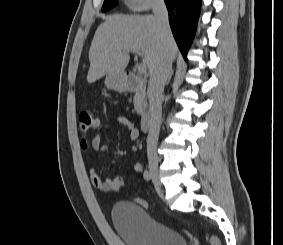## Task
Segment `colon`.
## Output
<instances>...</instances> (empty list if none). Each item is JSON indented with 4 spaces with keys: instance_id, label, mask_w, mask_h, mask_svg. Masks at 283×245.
<instances>
[{
    "instance_id": "colon-1",
    "label": "colon",
    "mask_w": 283,
    "mask_h": 245,
    "mask_svg": "<svg viewBox=\"0 0 283 245\" xmlns=\"http://www.w3.org/2000/svg\"><path fill=\"white\" fill-rule=\"evenodd\" d=\"M80 122V132L82 135L88 134V132L92 129L98 128L100 125L99 120L94 116V114L90 110H84L80 113L79 116ZM124 186V180L122 177H115L112 179V190L118 191L122 189ZM136 202L142 206L147 207L148 203L143 199H137ZM210 245H221L220 241L217 237L210 238Z\"/></svg>"
}]
</instances>
